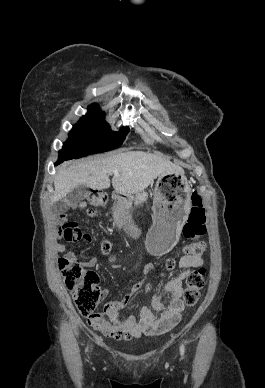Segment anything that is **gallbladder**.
Instances as JSON below:
<instances>
[{
	"mask_svg": "<svg viewBox=\"0 0 265 388\" xmlns=\"http://www.w3.org/2000/svg\"><path fill=\"white\" fill-rule=\"evenodd\" d=\"M88 194V188L87 186H83V184H80V186H77V188H74L72 192H69L68 196L65 198V202H68L70 206H78L84 198H86Z\"/></svg>",
	"mask_w": 265,
	"mask_h": 388,
	"instance_id": "1",
	"label": "gallbladder"
}]
</instances>
